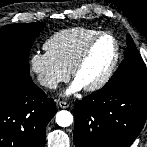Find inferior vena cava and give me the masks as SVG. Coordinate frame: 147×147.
Returning <instances> with one entry per match:
<instances>
[{
    "label": "inferior vena cava",
    "mask_w": 147,
    "mask_h": 147,
    "mask_svg": "<svg viewBox=\"0 0 147 147\" xmlns=\"http://www.w3.org/2000/svg\"><path fill=\"white\" fill-rule=\"evenodd\" d=\"M39 83L42 85V86H45L47 88H50V89H55L57 87V82L51 80V79H47V78H44V77H40L38 79Z\"/></svg>",
    "instance_id": "inferior-vena-cava-1"
}]
</instances>
